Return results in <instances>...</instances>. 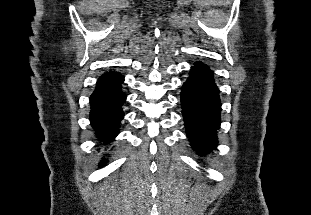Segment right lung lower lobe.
<instances>
[{"mask_svg":"<svg viewBox=\"0 0 311 215\" xmlns=\"http://www.w3.org/2000/svg\"><path fill=\"white\" fill-rule=\"evenodd\" d=\"M124 77L117 72H106L97 81L90 96V121L97 138L109 143L119 133L118 127L124 117L122 105L126 95L121 89Z\"/></svg>","mask_w":311,"mask_h":215,"instance_id":"right-lung-lower-lobe-1","label":"right lung lower lobe"}]
</instances>
